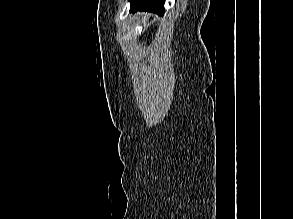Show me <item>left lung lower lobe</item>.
I'll return each instance as SVG.
<instances>
[{
  "label": "left lung lower lobe",
  "mask_w": 293,
  "mask_h": 219,
  "mask_svg": "<svg viewBox=\"0 0 293 219\" xmlns=\"http://www.w3.org/2000/svg\"><path fill=\"white\" fill-rule=\"evenodd\" d=\"M131 2L130 11H149L162 15L165 12L164 0H129Z\"/></svg>",
  "instance_id": "1"
}]
</instances>
